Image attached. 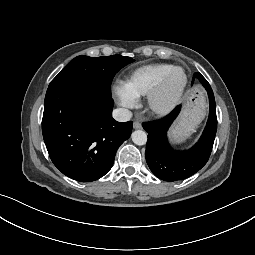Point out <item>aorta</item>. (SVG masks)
Masks as SVG:
<instances>
[{"label":"aorta","mask_w":255,"mask_h":255,"mask_svg":"<svg viewBox=\"0 0 255 255\" xmlns=\"http://www.w3.org/2000/svg\"><path fill=\"white\" fill-rule=\"evenodd\" d=\"M131 138L136 145H144L147 142V134L142 130L134 131L131 135Z\"/></svg>","instance_id":"1"}]
</instances>
